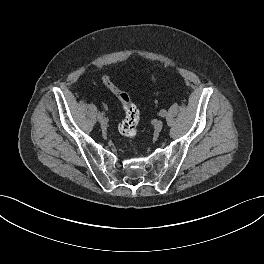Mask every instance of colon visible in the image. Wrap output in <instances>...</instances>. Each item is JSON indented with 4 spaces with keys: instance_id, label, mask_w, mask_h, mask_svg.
Returning <instances> with one entry per match:
<instances>
[{
    "instance_id": "obj_1",
    "label": "colon",
    "mask_w": 264,
    "mask_h": 264,
    "mask_svg": "<svg viewBox=\"0 0 264 264\" xmlns=\"http://www.w3.org/2000/svg\"><path fill=\"white\" fill-rule=\"evenodd\" d=\"M154 80H156L154 78ZM102 82L104 86L113 93L121 102L122 108L124 110V117L119 123V131L120 133L128 138H133L138 131L139 124V110L132 103L128 94L120 90L110 79L108 75H104L102 77Z\"/></svg>"
}]
</instances>
